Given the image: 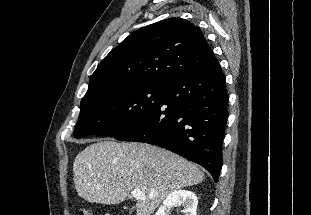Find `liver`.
Returning a JSON list of instances; mask_svg holds the SVG:
<instances>
[{
	"label": "liver",
	"instance_id": "obj_1",
	"mask_svg": "<svg viewBox=\"0 0 311 215\" xmlns=\"http://www.w3.org/2000/svg\"><path fill=\"white\" fill-rule=\"evenodd\" d=\"M73 173L78 195L90 203L119 204L140 190L146 199L137 201V215H151L173 191L204 180L197 165L172 152L112 140H98L82 150Z\"/></svg>",
	"mask_w": 311,
	"mask_h": 215
}]
</instances>
